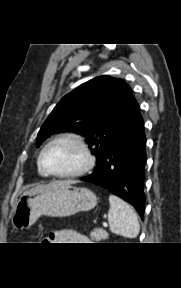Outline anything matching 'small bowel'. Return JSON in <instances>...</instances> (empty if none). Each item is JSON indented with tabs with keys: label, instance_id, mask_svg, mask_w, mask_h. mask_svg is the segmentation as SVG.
I'll return each instance as SVG.
<instances>
[{
	"label": "small bowel",
	"instance_id": "1",
	"mask_svg": "<svg viewBox=\"0 0 181 288\" xmlns=\"http://www.w3.org/2000/svg\"><path fill=\"white\" fill-rule=\"evenodd\" d=\"M88 238L74 230H58L51 232L47 238L48 243H87Z\"/></svg>",
	"mask_w": 181,
	"mask_h": 288
}]
</instances>
